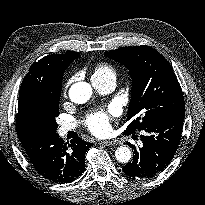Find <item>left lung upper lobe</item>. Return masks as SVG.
I'll use <instances>...</instances> for the list:
<instances>
[{
  "label": "left lung upper lobe",
  "mask_w": 205,
  "mask_h": 205,
  "mask_svg": "<svg viewBox=\"0 0 205 205\" xmlns=\"http://www.w3.org/2000/svg\"><path fill=\"white\" fill-rule=\"evenodd\" d=\"M129 69L132 97L126 132L131 134L161 119L185 113L183 94L168 61L146 46L123 47L104 53Z\"/></svg>",
  "instance_id": "obj_1"
}]
</instances>
